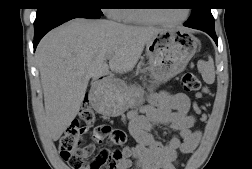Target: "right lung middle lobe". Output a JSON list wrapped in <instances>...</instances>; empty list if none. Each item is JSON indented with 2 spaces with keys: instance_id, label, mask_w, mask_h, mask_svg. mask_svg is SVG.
<instances>
[{
  "instance_id": "1",
  "label": "right lung middle lobe",
  "mask_w": 252,
  "mask_h": 169,
  "mask_svg": "<svg viewBox=\"0 0 252 169\" xmlns=\"http://www.w3.org/2000/svg\"><path fill=\"white\" fill-rule=\"evenodd\" d=\"M102 0H43L38 7L36 17L59 10L76 9L102 16Z\"/></svg>"
}]
</instances>
